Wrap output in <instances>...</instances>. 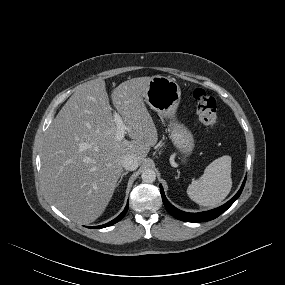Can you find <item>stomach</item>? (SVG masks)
Wrapping results in <instances>:
<instances>
[{
	"label": "stomach",
	"mask_w": 285,
	"mask_h": 285,
	"mask_svg": "<svg viewBox=\"0 0 285 285\" xmlns=\"http://www.w3.org/2000/svg\"><path fill=\"white\" fill-rule=\"evenodd\" d=\"M144 99L151 109L170 119V138L185 162L192 154L195 144L190 130L175 117L181 99L180 86L169 77L154 76L148 83Z\"/></svg>",
	"instance_id": "0dacf381"
}]
</instances>
